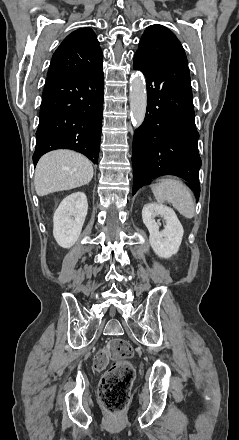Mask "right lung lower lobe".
<instances>
[{
  "label": "right lung lower lobe",
  "mask_w": 239,
  "mask_h": 440,
  "mask_svg": "<svg viewBox=\"0 0 239 440\" xmlns=\"http://www.w3.org/2000/svg\"><path fill=\"white\" fill-rule=\"evenodd\" d=\"M103 111V67L91 74L47 76L36 132L34 165L55 149L98 162Z\"/></svg>",
  "instance_id": "right-lung-lower-lobe-1"
}]
</instances>
